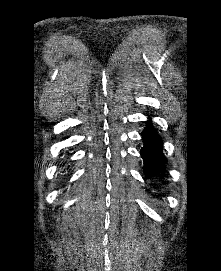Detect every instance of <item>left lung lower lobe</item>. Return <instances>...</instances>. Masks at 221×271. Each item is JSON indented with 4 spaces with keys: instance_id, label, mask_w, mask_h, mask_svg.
I'll list each match as a JSON object with an SVG mask.
<instances>
[{
    "instance_id": "1",
    "label": "left lung lower lobe",
    "mask_w": 221,
    "mask_h": 271,
    "mask_svg": "<svg viewBox=\"0 0 221 271\" xmlns=\"http://www.w3.org/2000/svg\"><path fill=\"white\" fill-rule=\"evenodd\" d=\"M146 128L142 132L144 147L141 149V157L144 161V172L148 178L162 172L166 163V158L162 152V140L154 130L151 122H147Z\"/></svg>"
}]
</instances>
